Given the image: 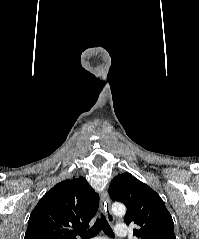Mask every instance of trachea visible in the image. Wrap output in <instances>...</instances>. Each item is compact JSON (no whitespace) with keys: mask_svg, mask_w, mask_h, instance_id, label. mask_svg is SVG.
<instances>
[{"mask_svg":"<svg viewBox=\"0 0 199 239\" xmlns=\"http://www.w3.org/2000/svg\"><path fill=\"white\" fill-rule=\"evenodd\" d=\"M101 230H103L104 233L109 236H114L113 230L111 229L104 215H101V218L96 220L92 228L87 231L79 232V234L83 239H91L95 237Z\"/></svg>","mask_w":199,"mask_h":239,"instance_id":"obj_1","label":"trachea"}]
</instances>
